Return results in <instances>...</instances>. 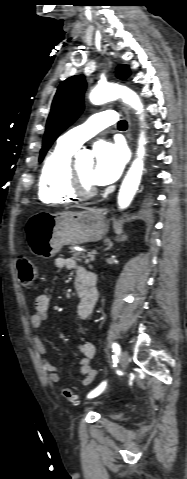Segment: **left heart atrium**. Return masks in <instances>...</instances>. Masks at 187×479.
<instances>
[{"mask_svg": "<svg viewBox=\"0 0 187 479\" xmlns=\"http://www.w3.org/2000/svg\"><path fill=\"white\" fill-rule=\"evenodd\" d=\"M95 164L92 181L97 185H106L116 181L121 175L126 156L124 149L108 141H99L94 145Z\"/></svg>", "mask_w": 187, "mask_h": 479, "instance_id": "1", "label": "left heart atrium"}]
</instances>
